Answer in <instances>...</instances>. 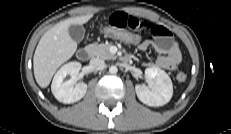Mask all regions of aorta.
Listing matches in <instances>:
<instances>
[{"label": "aorta", "mask_w": 231, "mask_h": 134, "mask_svg": "<svg viewBox=\"0 0 231 134\" xmlns=\"http://www.w3.org/2000/svg\"><path fill=\"white\" fill-rule=\"evenodd\" d=\"M109 72L111 74H116L118 72V68L116 66L112 65L109 67Z\"/></svg>", "instance_id": "aorta-1"}]
</instances>
